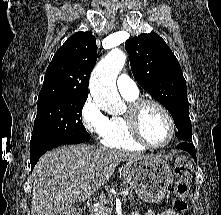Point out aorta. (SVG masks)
Returning <instances> with one entry per match:
<instances>
[{"instance_id": "1", "label": "aorta", "mask_w": 221, "mask_h": 215, "mask_svg": "<svg viewBox=\"0 0 221 215\" xmlns=\"http://www.w3.org/2000/svg\"><path fill=\"white\" fill-rule=\"evenodd\" d=\"M126 62L119 50L110 51L94 68L90 78V93L95 103L109 114H118L123 103L116 87V78Z\"/></svg>"}]
</instances>
